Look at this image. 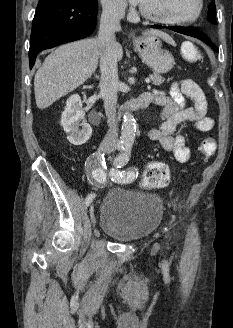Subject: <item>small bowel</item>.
<instances>
[{
	"label": "small bowel",
	"instance_id": "small-bowel-1",
	"mask_svg": "<svg viewBox=\"0 0 233 328\" xmlns=\"http://www.w3.org/2000/svg\"><path fill=\"white\" fill-rule=\"evenodd\" d=\"M155 104L162 107L156 126L150 129L148 137L160 143L161 147L173 153L178 162L190 159L187 136L177 133L178 126L189 122L201 132L213 129L215 121L207 116V100L201 87L191 79H183L173 84L168 92L154 91L150 94ZM190 98L193 106L187 107L185 100Z\"/></svg>",
	"mask_w": 233,
	"mask_h": 328
}]
</instances>
